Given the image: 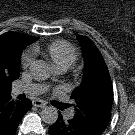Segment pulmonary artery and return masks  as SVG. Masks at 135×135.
<instances>
[{
	"label": "pulmonary artery",
	"mask_w": 135,
	"mask_h": 135,
	"mask_svg": "<svg viewBox=\"0 0 135 135\" xmlns=\"http://www.w3.org/2000/svg\"><path fill=\"white\" fill-rule=\"evenodd\" d=\"M59 72H64V70H59ZM44 90L45 87L40 84H26L13 88L12 95L28 94L30 96H37L43 93ZM68 117L72 118V113H70Z\"/></svg>",
	"instance_id": "e3ab8cb5"
}]
</instances>
